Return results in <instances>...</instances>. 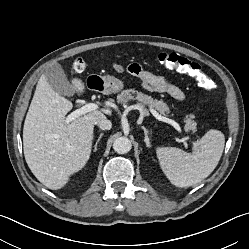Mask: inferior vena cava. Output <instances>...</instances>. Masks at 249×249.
I'll return each instance as SVG.
<instances>
[{
    "mask_svg": "<svg viewBox=\"0 0 249 249\" xmlns=\"http://www.w3.org/2000/svg\"><path fill=\"white\" fill-rule=\"evenodd\" d=\"M102 130H110L112 123L105 116L99 118L95 123Z\"/></svg>",
    "mask_w": 249,
    "mask_h": 249,
    "instance_id": "inferior-vena-cava-1",
    "label": "inferior vena cava"
}]
</instances>
